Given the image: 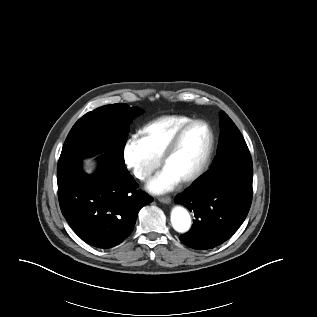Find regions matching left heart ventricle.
<instances>
[{
	"label": "left heart ventricle",
	"mask_w": 317,
	"mask_h": 317,
	"mask_svg": "<svg viewBox=\"0 0 317 317\" xmlns=\"http://www.w3.org/2000/svg\"><path fill=\"white\" fill-rule=\"evenodd\" d=\"M209 143L206 127L197 124L184 135L177 152L167 162L166 167L180 180L189 176L200 164Z\"/></svg>",
	"instance_id": "obj_1"
}]
</instances>
